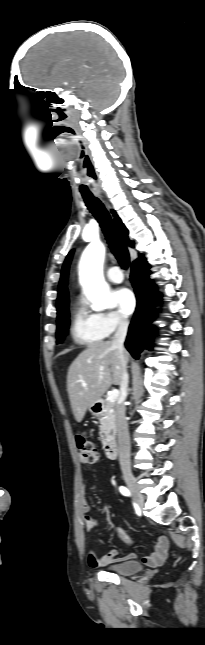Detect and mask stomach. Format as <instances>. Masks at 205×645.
I'll return each mask as SVG.
<instances>
[{"label":"stomach","instance_id":"stomach-1","mask_svg":"<svg viewBox=\"0 0 205 645\" xmlns=\"http://www.w3.org/2000/svg\"><path fill=\"white\" fill-rule=\"evenodd\" d=\"M89 411H90L93 415H99V414H100V410H99V403H98V401H97V402H95L93 405H91V406L89 407Z\"/></svg>","mask_w":205,"mask_h":645}]
</instances>
